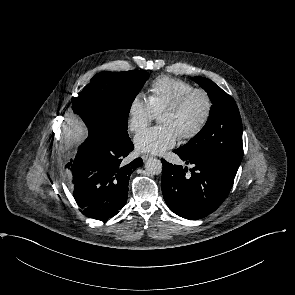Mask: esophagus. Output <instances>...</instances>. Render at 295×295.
I'll return each mask as SVG.
<instances>
[{"label": "esophagus", "instance_id": "1", "mask_svg": "<svg viewBox=\"0 0 295 295\" xmlns=\"http://www.w3.org/2000/svg\"><path fill=\"white\" fill-rule=\"evenodd\" d=\"M152 156L151 155H149V154H142L141 155V158L144 160V161H146L148 158H151Z\"/></svg>", "mask_w": 295, "mask_h": 295}]
</instances>
